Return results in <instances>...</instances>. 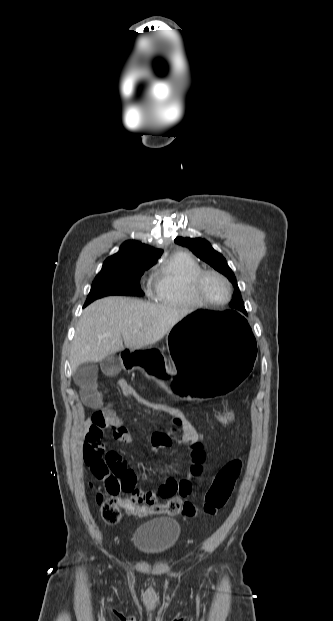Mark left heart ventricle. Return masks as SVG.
<instances>
[{
    "mask_svg": "<svg viewBox=\"0 0 333 621\" xmlns=\"http://www.w3.org/2000/svg\"><path fill=\"white\" fill-rule=\"evenodd\" d=\"M201 292L211 301H222L227 296V287L221 279L207 276L202 282Z\"/></svg>",
    "mask_w": 333,
    "mask_h": 621,
    "instance_id": "b2bd125f",
    "label": "left heart ventricle"
}]
</instances>
